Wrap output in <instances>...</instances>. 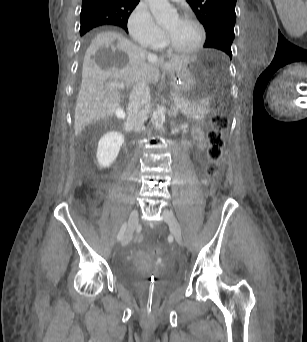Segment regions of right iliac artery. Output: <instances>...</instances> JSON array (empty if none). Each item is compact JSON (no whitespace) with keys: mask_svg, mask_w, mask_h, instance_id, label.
<instances>
[{"mask_svg":"<svg viewBox=\"0 0 307 342\" xmlns=\"http://www.w3.org/2000/svg\"><path fill=\"white\" fill-rule=\"evenodd\" d=\"M126 229H127V223H123L121 228H120V231H119V233L117 235V240L118 241H121L123 239L124 233H125Z\"/></svg>","mask_w":307,"mask_h":342,"instance_id":"82829eb1","label":"right iliac artery"}]
</instances>
